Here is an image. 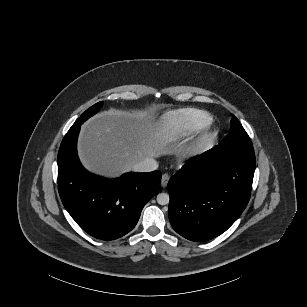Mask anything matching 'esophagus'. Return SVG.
<instances>
[{
  "label": "esophagus",
  "instance_id": "obj_1",
  "mask_svg": "<svg viewBox=\"0 0 307 307\" xmlns=\"http://www.w3.org/2000/svg\"><path fill=\"white\" fill-rule=\"evenodd\" d=\"M169 179H170V175L168 173H164L162 175V178H161V185H162V187H166L167 186V183H168Z\"/></svg>",
  "mask_w": 307,
  "mask_h": 307
}]
</instances>
